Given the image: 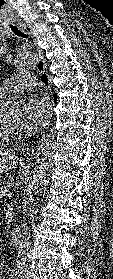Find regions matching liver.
I'll return each mask as SVG.
<instances>
[{
  "instance_id": "6515ba94",
  "label": "liver",
  "mask_w": 113,
  "mask_h": 279,
  "mask_svg": "<svg viewBox=\"0 0 113 279\" xmlns=\"http://www.w3.org/2000/svg\"><path fill=\"white\" fill-rule=\"evenodd\" d=\"M18 156L10 151H0V172L15 168Z\"/></svg>"
}]
</instances>
